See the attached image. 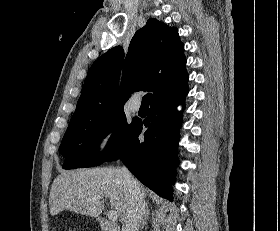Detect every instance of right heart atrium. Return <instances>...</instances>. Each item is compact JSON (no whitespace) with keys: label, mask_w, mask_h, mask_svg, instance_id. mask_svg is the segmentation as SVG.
Listing matches in <instances>:
<instances>
[{"label":"right heart atrium","mask_w":280,"mask_h":231,"mask_svg":"<svg viewBox=\"0 0 280 231\" xmlns=\"http://www.w3.org/2000/svg\"><path fill=\"white\" fill-rule=\"evenodd\" d=\"M119 141V127L115 124L106 126L98 136L97 144L99 153L102 156L112 153L119 146Z\"/></svg>","instance_id":"1"}]
</instances>
